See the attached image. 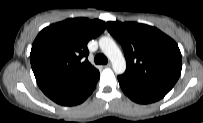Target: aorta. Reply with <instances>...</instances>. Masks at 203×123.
<instances>
[{"instance_id":"1","label":"aorta","mask_w":203,"mask_h":123,"mask_svg":"<svg viewBox=\"0 0 203 123\" xmlns=\"http://www.w3.org/2000/svg\"><path fill=\"white\" fill-rule=\"evenodd\" d=\"M99 46L104 55L111 61L116 74H123L126 69L124 56L111 37L103 36L99 39Z\"/></svg>"}]
</instances>
